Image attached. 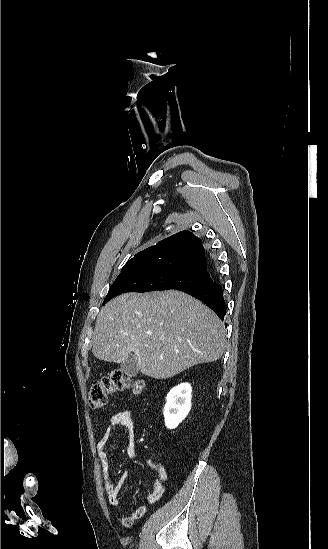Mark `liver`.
<instances>
[{"instance_id":"liver-1","label":"liver","mask_w":328,"mask_h":549,"mask_svg":"<svg viewBox=\"0 0 328 549\" xmlns=\"http://www.w3.org/2000/svg\"><path fill=\"white\" fill-rule=\"evenodd\" d=\"M226 331L217 315L181 291L124 293L102 307L92 353L124 363L134 353L142 375L170 379L223 355Z\"/></svg>"}]
</instances>
